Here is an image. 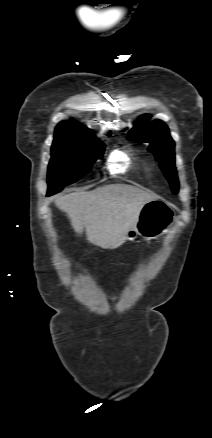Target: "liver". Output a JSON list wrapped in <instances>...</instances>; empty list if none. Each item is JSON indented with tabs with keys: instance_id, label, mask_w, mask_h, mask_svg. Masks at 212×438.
Instances as JSON below:
<instances>
[{
	"instance_id": "obj_1",
	"label": "liver",
	"mask_w": 212,
	"mask_h": 438,
	"mask_svg": "<svg viewBox=\"0 0 212 438\" xmlns=\"http://www.w3.org/2000/svg\"><path fill=\"white\" fill-rule=\"evenodd\" d=\"M155 199L157 196L136 187L113 184L61 195L55 204L67 214L76 233L85 228L90 243L116 248L127 240L142 207Z\"/></svg>"
}]
</instances>
